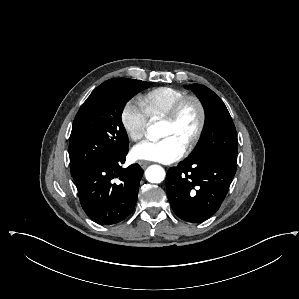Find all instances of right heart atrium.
I'll use <instances>...</instances> for the list:
<instances>
[{"mask_svg": "<svg viewBox=\"0 0 299 299\" xmlns=\"http://www.w3.org/2000/svg\"><path fill=\"white\" fill-rule=\"evenodd\" d=\"M120 122L128 138L137 141L145 135L149 118L140 103L129 100L121 109Z\"/></svg>", "mask_w": 299, "mask_h": 299, "instance_id": "d8ad5b80", "label": "right heart atrium"}]
</instances>
